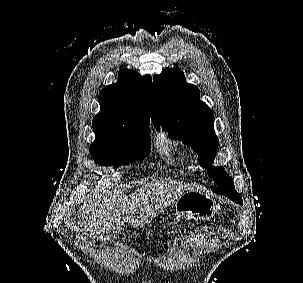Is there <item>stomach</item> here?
<instances>
[{
  "instance_id": "stomach-1",
  "label": "stomach",
  "mask_w": 303,
  "mask_h": 283,
  "mask_svg": "<svg viewBox=\"0 0 303 283\" xmlns=\"http://www.w3.org/2000/svg\"><path fill=\"white\" fill-rule=\"evenodd\" d=\"M175 211L180 217L193 220H207L216 211L215 201L208 195L197 191H187L175 202ZM169 212L162 211L156 218L160 223L168 220Z\"/></svg>"
}]
</instances>
